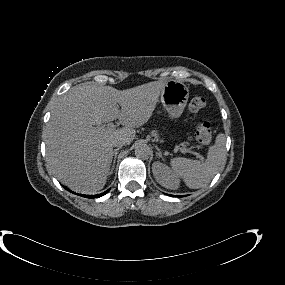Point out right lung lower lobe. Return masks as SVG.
<instances>
[{"instance_id":"98d812e1","label":"right lung lower lobe","mask_w":285,"mask_h":285,"mask_svg":"<svg viewBox=\"0 0 285 285\" xmlns=\"http://www.w3.org/2000/svg\"><path fill=\"white\" fill-rule=\"evenodd\" d=\"M67 189V188H66ZM69 190V189H67ZM110 189H108L107 191H105L104 193H101V194H97V195H82V194H79L80 196H83V197H86V198H98V197H101L103 195H105ZM70 191V190H69ZM72 192V191H70ZM72 193H75V192H72ZM76 194V193H75Z\"/></svg>"}]
</instances>
